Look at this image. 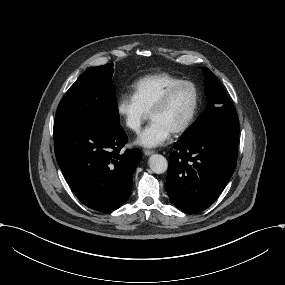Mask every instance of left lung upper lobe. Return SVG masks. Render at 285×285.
Returning a JSON list of instances; mask_svg holds the SVG:
<instances>
[{
  "label": "left lung upper lobe",
  "instance_id": "left-lung-upper-lobe-1",
  "mask_svg": "<svg viewBox=\"0 0 285 285\" xmlns=\"http://www.w3.org/2000/svg\"><path fill=\"white\" fill-rule=\"evenodd\" d=\"M205 91L209 103L206 111L187 129L179 141H187L196 133L218 122L236 119L237 114L216 76L205 68Z\"/></svg>",
  "mask_w": 285,
  "mask_h": 285
}]
</instances>
